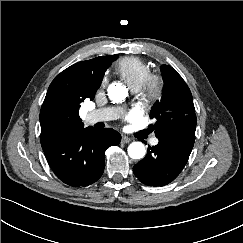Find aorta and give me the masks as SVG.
Returning a JSON list of instances; mask_svg holds the SVG:
<instances>
[{"label":"aorta","mask_w":243,"mask_h":243,"mask_svg":"<svg viewBox=\"0 0 243 243\" xmlns=\"http://www.w3.org/2000/svg\"><path fill=\"white\" fill-rule=\"evenodd\" d=\"M107 91L109 99L113 102H121L127 97V89L120 83L110 84ZM145 153V146L141 142H132L128 146V154L132 159H141Z\"/></svg>","instance_id":"obj_1"}]
</instances>
